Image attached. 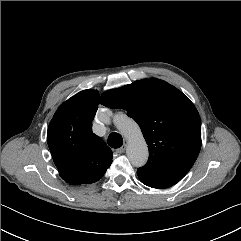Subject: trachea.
<instances>
[{"mask_svg": "<svg viewBox=\"0 0 241 241\" xmlns=\"http://www.w3.org/2000/svg\"><path fill=\"white\" fill-rule=\"evenodd\" d=\"M123 144L122 136L119 133L113 132L108 137V145L112 148H119Z\"/></svg>", "mask_w": 241, "mask_h": 241, "instance_id": "3493384b", "label": "trachea"}]
</instances>
